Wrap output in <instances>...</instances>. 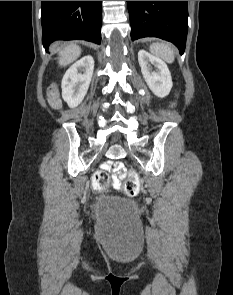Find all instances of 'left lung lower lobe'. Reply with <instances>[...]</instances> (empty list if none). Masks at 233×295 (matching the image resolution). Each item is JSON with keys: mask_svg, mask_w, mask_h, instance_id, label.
Wrapping results in <instances>:
<instances>
[{"mask_svg": "<svg viewBox=\"0 0 233 295\" xmlns=\"http://www.w3.org/2000/svg\"><path fill=\"white\" fill-rule=\"evenodd\" d=\"M131 37H159L184 53L188 32L187 1H127Z\"/></svg>", "mask_w": 233, "mask_h": 295, "instance_id": "1", "label": "left lung lower lobe"}]
</instances>
